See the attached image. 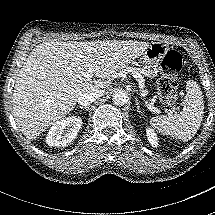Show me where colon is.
<instances>
[{
  "label": "colon",
  "mask_w": 215,
  "mask_h": 215,
  "mask_svg": "<svg viewBox=\"0 0 215 215\" xmlns=\"http://www.w3.org/2000/svg\"><path fill=\"white\" fill-rule=\"evenodd\" d=\"M182 68V55L176 51H169L161 62L164 75L158 83L160 100L166 105L173 106L178 102L177 73Z\"/></svg>",
  "instance_id": "colon-1"
}]
</instances>
